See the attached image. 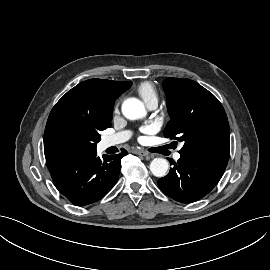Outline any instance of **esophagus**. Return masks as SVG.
I'll return each instance as SVG.
<instances>
[{
  "mask_svg": "<svg viewBox=\"0 0 270 270\" xmlns=\"http://www.w3.org/2000/svg\"><path fill=\"white\" fill-rule=\"evenodd\" d=\"M135 154H137V155H141V156H145V157H149V153L147 152V151H145V150H136L135 151Z\"/></svg>",
  "mask_w": 270,
  "mask_h": 270,
  "instance_id": "obj_1",
  "label": "esophagus"
}]
</instances>
